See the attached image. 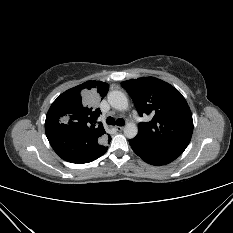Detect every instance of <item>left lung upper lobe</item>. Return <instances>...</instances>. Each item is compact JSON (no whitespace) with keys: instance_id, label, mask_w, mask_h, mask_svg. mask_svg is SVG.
<instances>
[{"instance_id":"obj_1","label":"left lung upper lobe","mask_w":233,"mask_h":233,"mask_svg":"<svg viewBox=\"0 0 233 233\" xmlns=\"http://www.w3.org/2000/svg\"><path fill=\"white\" fill-rule=\"evenodd\" d=\"M121 85L140 116L153 115L150 122L139 124L135 138L152 147L181 154L193 132L192 114L181 93L154 77L131 79Z\"/></svg>"}]
</instances>
